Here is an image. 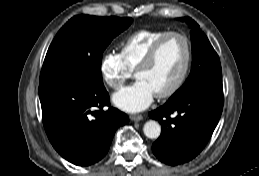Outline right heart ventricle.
Returning <instances> with one entry per match:
<instances>
[{"label": "right heart ventricle", "instance_id": "e07e8e85", "mask_svg": "<svg viewBox=\"0 0 259 176\" xmlns=\"http://www.w3.org/2000/svg\"><path fill=\"white\" fill-rule=\"evenodd\" d=\"M167 32L169 31L143 29L131 34L123 42L120 50L126 66L131 71L135 70L152 45Z\"/></svg>", "mask_w": 259, "mask_h": 176}]
</instances>
